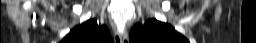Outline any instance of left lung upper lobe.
<instances>
[{
    "mask_svg": "<svg viewBox=\"0 0 256 43\" xmlns=\"http://www.w3.org/2000/svg\"><path fill=\"white\" fill-rule=\"evenodd\" d=\"M130 43H189L171 25L149 19L143 26L137 24L130 33Z\"/></svg>",
    "mask_w": 256,
    "mask_h": 43,
    "instance_id": "obj_1",
    "label": "left lung upper lobe"
}]
</instances>
